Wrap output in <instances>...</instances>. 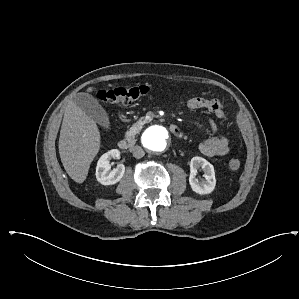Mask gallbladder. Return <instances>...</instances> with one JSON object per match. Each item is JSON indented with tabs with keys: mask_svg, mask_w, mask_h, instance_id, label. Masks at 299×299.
<instances>
[{
	"mask_svg": "<svg viewBox=\"0 0 299 299\" xmlns=\"http://www.w3.org/2000/svg\"><path fill=\"white\" fill-rule=\"evenodd\" d=\"M74 103L103 128L110 125L109 117L98 100L88 93H78Z\"/></svg>",
	"mask_w": 299,
	"mask_h": 299,
	"instance_id": "gallbladder-1",
	"label": "gallbladder"
}]
</instances>
